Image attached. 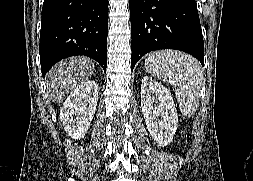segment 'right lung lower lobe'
Returning <instances> with one entry per match:
<instances>
[{"label": "right lung lower lobe", "instance_id": "98d812e1", "mask_svg": "<svg viewBox=\"0 0 253 181\" xmlns=\"http://www.w3.org/2000/svg\"><path fill=\"white\" fill-rule=\"evenodd\" d=\"M107 0H44L40 32L43 77L58 61L75 55L96 60L106 72Z\"/></svg>", "mask_w": 253, "mask_h": 181}]
</instances>
